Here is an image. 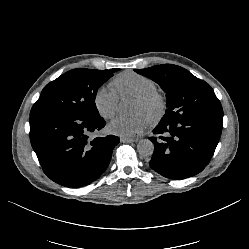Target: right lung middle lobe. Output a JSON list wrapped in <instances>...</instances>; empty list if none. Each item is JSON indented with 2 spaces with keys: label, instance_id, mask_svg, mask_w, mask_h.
<instances>
[{
  "label": "right lung middle lobe",
  "instance_id": "1",
  "mask_svg": "<svg viewBox=\"0 0 249 249\" xmlns=\"http://www.w3.org/2000/svg\"><path fill=\"white\" fill-rule=\"evenodd\" d=\"M118 70L77 68L64 73L44 87L30 116L67 112L81 117H101L94 102L97 91Z\"/></svg>",
  "mask_w": 249,
  "mask_h": 249
}]
</instances>
